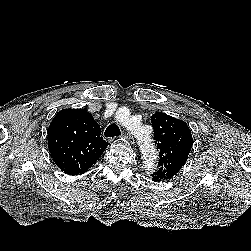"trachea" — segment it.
Instances as JSON below:
<instances>
[{"instance_id":"1","label":"trachea","mask_w":251,"mask_h":251,"mask_svg":"<svg viewBox=\"0 0 251 251\" xmlns=\"http://www.w3.org/2000/svg\"><path fill=\"white\" fill-rule=\"evenodd\" d=\"M104 135L107 138L108 137H116V136L121 135V132H120L119 127L113 123L106 128Z\"/></svg>"}]
</instances>
